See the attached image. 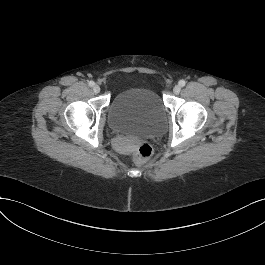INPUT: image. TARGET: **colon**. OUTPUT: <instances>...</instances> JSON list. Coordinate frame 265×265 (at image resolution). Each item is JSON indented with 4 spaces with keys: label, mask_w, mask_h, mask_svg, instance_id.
<instances>
[{
    "label": "colon",
    "mask_w": 265,
    "mask_h": 265,
    "mask_svg": "<svg viewBox=\"0 0 265 265\" xmlns=\"http://www.w3.org/2000/svg\"><path fill=\"white\" fill-rule=\"evenodd\" d=\"M152 151V147L147 143L139 145L134 151L135 161L137 163H143L151 157Z\"/></svg>",
    "instance_id": "1"
}]
</instances>
